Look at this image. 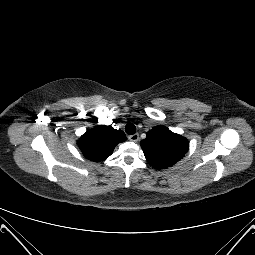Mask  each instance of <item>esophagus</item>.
<instances>
[{"label":"esophagus","instance_id":"1","mask_svg":"<svg viewBox=\"0 0 255 255\" xmlns=\"http://www.w3.org/2000/svg\"><path fill=\"white\" fill-rule=\"evenodd\" d=\"M128 139L132 142H137L139 140V135L136 133V134H133V135H129L128 136Z\"/></svg>","mask_w":255,"mask_h":255}]
</instances>
